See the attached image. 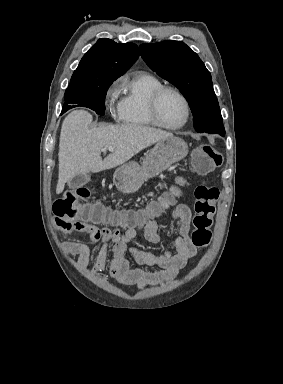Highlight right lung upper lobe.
Returning a JSON list of instances; mask_svg holds the SVG:
<instances>
[{
  "label": "right lung upper lobe",
  "instance_id": "cb5924a9",
  "mask_svg": "<svg viewBox=\"0 0 283 384\" xmlns=\"http://www.w3.org/2000/svg\"><path fill=\"white\" fill-rule=\"evenodd\" d=\"M138 48L133 43H116L102 38L84 55L74 71L69 88H82L113 83L137 60Z\"/></svg>",
  "mask_w": 283,
  "mask_h": 384
}]
</instances>
